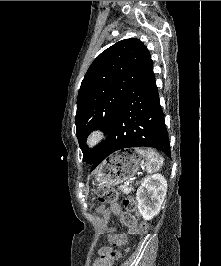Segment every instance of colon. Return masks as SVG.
<instances>
[{"label":"colon","mask_w":221,"mask_h":266,"mask_svg":"<svg viewBox=\"0 0 221 266\" xmlns=\"http://www.w3.org/2000/svg\"><path fill=\"white\" fill-rule=\"evenodd\" d=\"M117 192L115 189L108 186H100L98 189V199L101 203L109 205L115 214H119L120 220L124 226H126L131 234H139L145 232L147 224L144 221H139L138 214L136 212L135 201L131 198H124L121 202V206L124 211L121 212L117 204ZM110 242L116 244L123 240L122 234H111L109 236ZM115 258V252L112 248L103 253L98 261L97 266H110Z\"/></svg>","instance_id":"1"}]
</instances>
